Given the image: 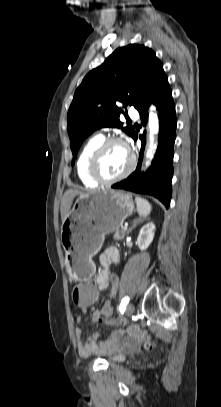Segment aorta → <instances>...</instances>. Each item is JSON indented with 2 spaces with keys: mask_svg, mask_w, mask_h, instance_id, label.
<instances>
[{
  "mask_svg": "<svg viewBox=\"0 0 221 407\" xmlns=\"http://www.w3.org/2000/svg\"><path fill=\"white\" fill-rule=\"evenodd\" d=\"M148 125H149L150 144H149V149L147 152V158H148V161L146 163L147 165L150 164V161L152 160V158L155 154L156 148H157V145L154 143V136L156 134H158V131H159V120H158L157 113L155 112L154 106H152L150 108Z\"/></svg>",
  "mask_w": 221,
  "mask_h": 407,
  "instance_id": "aorta-1",
  "label": "aorta"
}]
</instances>
